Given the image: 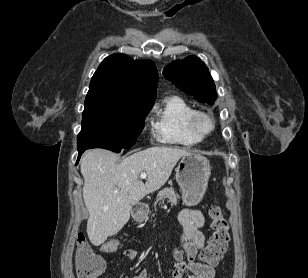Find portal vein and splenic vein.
Here are the masks:
<instances>
[{
    "mask_svg": "<svg viewBox=\"0 0 308 278\" xmlns=\"http://www.w3.org/2000/svg\"><path fill=\"white\" fill-rule=\"evenodd\" d=\"M147 177V174L145 172L140 174V178L141 179H145ZM117 192V191H116Z\"/></svg>",
    "mask_w": 308,
    "mask_h": 278,
    "instance_id": "1",
    "label": "portal vein and splenic vein"
}]
</instances>
